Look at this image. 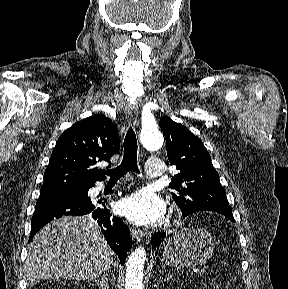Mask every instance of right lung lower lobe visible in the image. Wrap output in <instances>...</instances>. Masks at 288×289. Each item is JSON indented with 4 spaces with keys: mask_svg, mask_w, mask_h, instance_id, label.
I'll return each instance as SVG.
<instances>
[{
    "mask_svg": "<svg viewBox=\"0 0 288 289\" xmlns=\"http://www.w3.org/2000/svg\"><path fill=\"white\" fill-rule=\"evenodd\" d=\"M103 205L105 206L104 203ZM89 213L97 220L107 243L118 255L120 263L124 264L127 251L132 247L128 227L121 218L112 216L109 210L96 208L91 201L82 202L69 198L38 201L32 216L30 240L45 224L55 218L67 215L81 216Z\"/></svg>",
    "mask_w": 288,
    "mask_h": 289,
    "instance_id": "1",
    "label": "right lung lower lobe"
}]
</instances>
